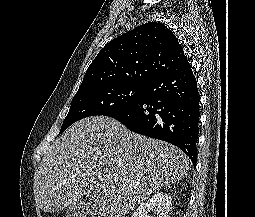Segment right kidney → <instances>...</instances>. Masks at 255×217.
Instances as JSON below:
<instances>
[{
  "label": "right kidney",
  "instance_id": "right-kidney-1",
  "mask_svg": "<svg viewBox=\"0 0 255 217\" xmlns=\"http://www.w3.org/2000/svg\"><path fill=\"white\" fill-rule=\"evenodd\" d=\"M172 198L164 192H158L133 212L131 217H150L148 212L153 210L157 217H168Z\"/></svg>",
  "mask_w": 255,
  "mask_h": 217
}]
</instances>
